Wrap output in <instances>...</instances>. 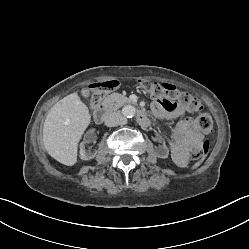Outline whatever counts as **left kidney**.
Here are the masks:
<instances>
[{
	"label": "left kidney",
	"mask_w": 249,
	"mask_h": 249,
	"mask_svg": "<svg viewBox=\"0 0 249 249\" xmlns=\"http://www.w3.org/2000/svg\"><path fill=\"white\" fill-rule=\"evenodd\" d=\"M167 156L165 155V156H161V158H166Z\"/></svg>",
	"instance_id": "5707ae66"
}]
</instances>
